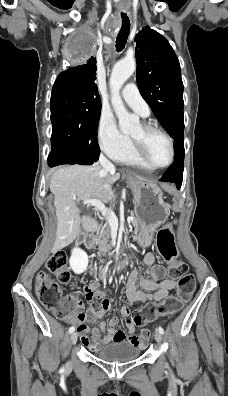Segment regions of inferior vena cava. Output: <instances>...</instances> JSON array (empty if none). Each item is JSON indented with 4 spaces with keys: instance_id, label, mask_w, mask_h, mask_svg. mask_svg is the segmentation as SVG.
I'll list each match as a JSON object with an SVG mask.
<instances>
[{
    "instance_id": "1",
    "label": "inferior vena cava",
    "mask_w": 228,
    "mask_h": 396,
    "mask_svg": "<svg viewBox=\"0 0 228 396\" xmlns=\"http://www.w3.org/2000/svg\"><path fill=\"white\" fill-rule=\"evenodd\" d=\"M99 163H100V166L103 168V170H105L106 172L115 170L114 165L104 155L100 156ZM109 188H110V185L108 183H106L104 185V189L108 190Z\"/></svg>"
}]
</instances>
